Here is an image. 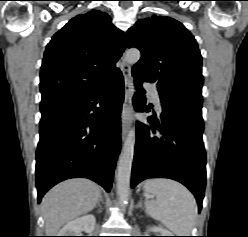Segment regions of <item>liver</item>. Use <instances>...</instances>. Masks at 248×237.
<instances>
[{
    "label": "liver",
    "mask_w": 248,
    "mask_h": 237,
    "mask_svg": "<svg viewBox=\"0 0 248 237\" xmlns=\"http://www.w3.org/2000/svg\"><path fill=\"white\" fill-rule=\"evenodd\" d=\"M100 189L94 182L78 178L53 187L42 199V214L47 236H56L71 220L94 209Z\"/></svg>",
    "instance_id": "obj_1"
}]
</instances>
